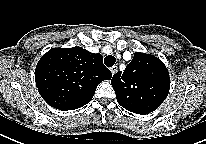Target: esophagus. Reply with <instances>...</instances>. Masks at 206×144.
<instances>
[{
    "instance_id": "34e87169",
    "label": "esophagus",
    "mask_w": 206,
    "mask_h": 144,
    "mask_svg": "<svg viewBox=\"0 0 206 144\" xmlns=\"http://www.w3.org/2000/svg\"><path fill=\"white\" fill-rule=\"evenodd\" d=\"M117 69H118V67L116 66V65H114V66H112L111 67V72H112V75H114L116 72H117Z\"/></svg>"
}]
</instances>
